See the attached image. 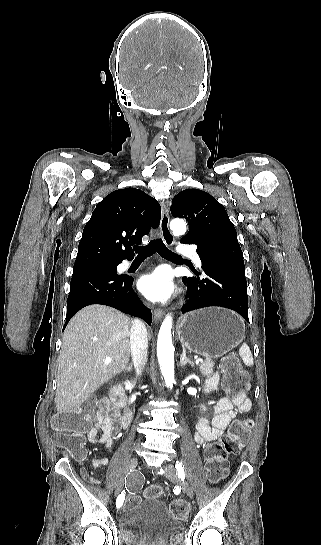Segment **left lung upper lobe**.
Masks as SVG:
<instances>
[{
    "mask_svg": "<svg viewBox=\"0 0 321 545\" xmlns=\"http://www.w3.org/2000/svg\"><path fill=\"white\" fill-rule=\"evenodd\" d=\"M174 217L186 218L190 229L182 243L201 242L219 236H237L224 207L210 194L198 189H186L173 201Z\"/></svg>",
    "mask_w": 321,
    "mask_h": 545,
    "instance_id": "5c2ea615",
    "label": "left lung upper lobe"
}]
</instances>
